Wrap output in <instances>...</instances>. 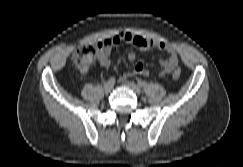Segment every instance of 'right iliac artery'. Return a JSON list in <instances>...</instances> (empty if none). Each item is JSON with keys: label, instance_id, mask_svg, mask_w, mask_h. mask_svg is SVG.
I'll list each match as a JSON object with an SVG mask.
<instances>
[{"label": "right iliac artery", "instance_id": "right-iliac-artery-1", "mask_svg": "<svg viewBox=\"0 0 243 167\" xmlns=\"http://www.w3.org/2000/svg\"><path fill=\"white\" fill-rule=\"evenodd\" d=\"M115 81L116 80H115L114 77H110L109 80H108V83L114 85L115 84Z\"/></svg>", "mask_w": 243, "mask_h": 167}]
</instances>
